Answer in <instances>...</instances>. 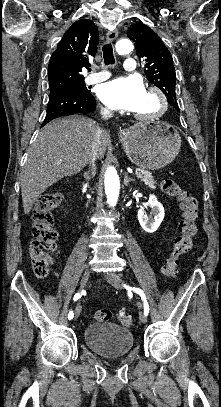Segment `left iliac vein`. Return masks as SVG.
<instances>
[{
	"mask_svg": "<svg viewBox=\"0 0 221 407\" xmlns=\"http://www.w3.org/2000/svg\"><path fill=\"white\" fill-rule=\"evenodd\" d=\"M104 278L106 279L107 282H109L112 286H114L117 289H123V283L121 277L113 272H108L103 274ZM139 319L143 324L147 323V316L143 311L139 312Z\"/></svg>",
	"mask_w": 221,
	"mask_h": 407,
	"instance_id": "left-iliac-vein-1",
	"label": "left iliac vein"
}]
</instances>
